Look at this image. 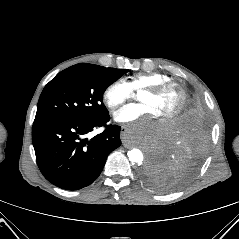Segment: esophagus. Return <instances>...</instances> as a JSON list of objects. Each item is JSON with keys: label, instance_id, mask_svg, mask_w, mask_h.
<instances>
[{"label": "esophagus", "instance_id": "esophagus-1", "mask_svg": "<svg viewBox=\"0 0 239 239\" xmlns=\"http://www.w3.org/2000/svg\"><path fill=\"white\" fill-rule=\"evenodd\" d=\"M127 132V128L122 126L121 128V138L123 139V145L127 148L131 147V145L125 140V133Z\"/></svg>", "mask_w": 239, "mask_h": 239}]
</instances>
